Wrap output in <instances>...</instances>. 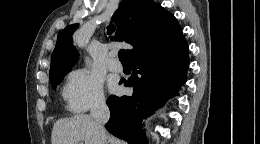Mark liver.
Segmentation results:
<instances>
[{
    "label": "liver",
    "mask_w": 260,
    "mask_h": 144,
    "mask_svg": "<svg viewBox=\"0 0 260 144\" xmlns=\"http://www.w3.org/2000/svg\"><path fill=\"white\" fill-rule=\"evenodd\" d=\"M105 132L99 133L90 115L79 114L71 118L60 119L53 126L52 144H101L104 142Z\"/></svg>",
    "instance_id": "1"
}]
</instances>
